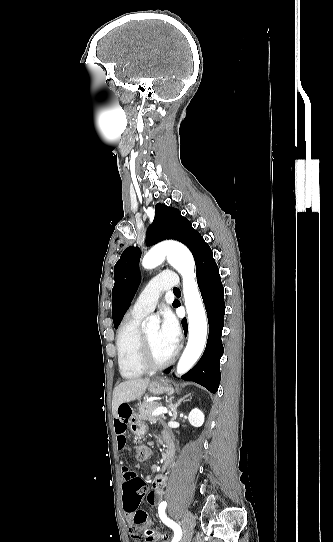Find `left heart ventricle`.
I'll return each mask as SVG.
<instances>
[{
    "label": "left heart ventricle",
    "mask_w": 333,
    "mask_h": 542,
    "mask_svg": "<svg viewBox=\"0 0 333 542\" xmlns=\"http://www.w3.org/2000/svg\"><path fill=\"white\" fill-rule=\"evenodd\" d=\"M145 334L154 360L161 362L168 359L173 354L174 350L163 338L159 328L151 329Z\"/></svg>",
    "instance_id": "left-heart-ventricle-1"
}]
</instances>
